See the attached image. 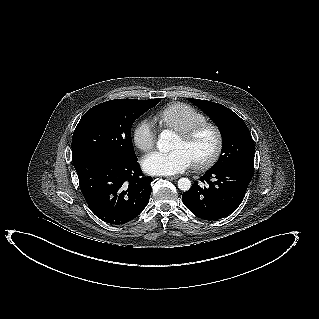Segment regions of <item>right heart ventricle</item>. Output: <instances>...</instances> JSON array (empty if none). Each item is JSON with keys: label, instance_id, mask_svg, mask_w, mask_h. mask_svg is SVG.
Masks as SVG:
<instances>
[{"label": "right heart ventricle", "instance_id": "obj_1", "mask_svg": "<svg viewBox=\"0 0 319 319\" xmlns=\"http://www.w3.org/2000/svg\"><path fill=\"white\" fill-rule=\"evenodd\" d=\"M154 118L160 126L175 132L207 120L202 112L185 103L169 104L159 110Z\"/></svg>", "mask_w": 319, "mask_h": 319}]
</instances>
